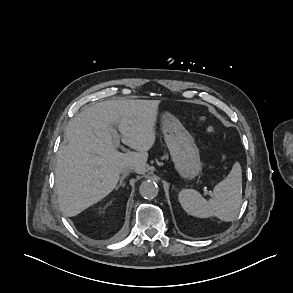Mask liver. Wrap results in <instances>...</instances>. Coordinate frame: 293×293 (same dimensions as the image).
<instances>
[{"instance_id":"liver-1","label":"liver","mask_w":293,"mask_h":293,"mask_svg":"<svg viewBox=\"0 0 293 293\" xmlns=\"http://www.w3.org/2000/svg\"><path fill=\"white\" fill-rule=\"evenodd\" d=\"M159 100H109L87 106L65 129L67 145L57 152L55 186L60 210L73 217L96 204L116 187L121 169L133 166L144 174L147 151L155 143ZM121 141L137 152H119Z\"/></svg>"}]
</instances>
